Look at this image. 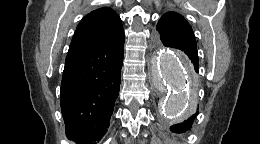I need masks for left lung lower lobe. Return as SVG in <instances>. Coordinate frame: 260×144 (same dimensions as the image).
Listing matches in <instances>:
<instances>
[{
  "label": "left lung lower lobe",
  "mask_w": 260,
  "mask_h": 144,
  "mask_svg": "<svg viewBox=\"0 0 260 144\" xmlns=\"http://www.w3.org/2000/svg\"><path fill=\"white\" fill-rule=\"evenodd\" d=\"M163 44L167 47H172V48L182 50L193 63L195 71L196 72H197V70L199 71L197 44L195 41L165 37L163 39ZM197 114H198V112H196V114H193L192 116H190L183 123L171 126V131L175 132V133H184V132L188 131L191 128L193 121L196 118Z\"/></svg>",
  "instance_id": "left-lung-lower-lobe-1"
}]
</instances>
